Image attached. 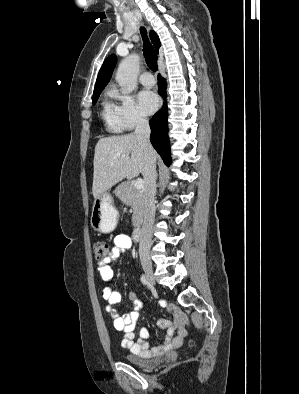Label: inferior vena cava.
Wrapping results in <instances>:
<instances>
[{
	"instance_id": "602c4592",
	"label": "inferior vena cava",
	"mask_w": 299,
	"mask_h": 394,
	"mask_svg": "<svg viewBox=\"0 0 299 394\" xmlns=\"http://www.w3.org/2000/svg\"><path fill=\"white\" fill-rule=\"evenodd\" d=\"M134 134L140 141L145 155V166L143 171L145 182L144 219L140 235L139 256L142 264H151L150 248L156 210V159L153 154V147L149 141L150 127L146 117L142 115L137 116Z\"/></svg>"
}]
</instances>
